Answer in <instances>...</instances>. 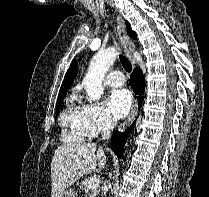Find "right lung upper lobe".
<instances>
[{"mask_svg":"<svg viewBox=\"0 0 209 197\" xmlns=\"http://www.w3.org/2000/svg\"><path fill=\"white\" fill-rule=\"evenodd\" d=\"M77 72H78V64L75 61L71 65V67L68 69V71L64 77V80L62 82L57 100L64 99V97L66 96V93H67V89L73 84V81L77 75Z\"/></svg>","mask_w":209,"mask_h":197,"instance_id":"1","label":"right lung upper lobe"}]
</instances>
